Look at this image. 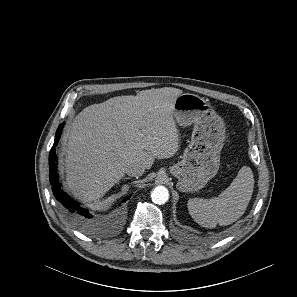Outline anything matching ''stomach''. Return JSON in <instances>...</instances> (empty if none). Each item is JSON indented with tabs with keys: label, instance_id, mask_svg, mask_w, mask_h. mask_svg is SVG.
Here are the masks:
<instances>
[{
	"label": "stomach",
	"instance_id": "1",
	"mask_svg": "<svg viewBox=\"0 0 297 297\" xmlns=\"http://www.w3.org/2000/svg\"><path fill=\"white\" fill-rule=\"evenodd\" d=\"M173 116L183 127L193 125L182 160L170 167L182 192L198 191L218 172L226 133L222 118L198 95L185 93L174 102Z\"/></svg>",
	"mask_w": 297,
	"mask_h": 297
}]
</instances>
